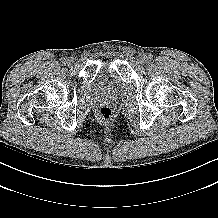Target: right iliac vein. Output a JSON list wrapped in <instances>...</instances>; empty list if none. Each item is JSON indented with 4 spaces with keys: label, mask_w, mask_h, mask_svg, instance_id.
I'll return each instance as SVG.
<instances>
[{
    "label": "right iliac vein",
    "mask_w": 218,
    "mask_h": 218,
    "mask_svg": "<svg viewBox=\"0 0 218 218\" xmlns=\"http://www.w3.org/2000/svg\"><path fill=\"white\" fill-rule=\"evenodd\" d=\"M74 62V59L72 57L66 58V63L67 64H72Z\"/></svg>",
    "instance_id": "1"
}]
</instances>
